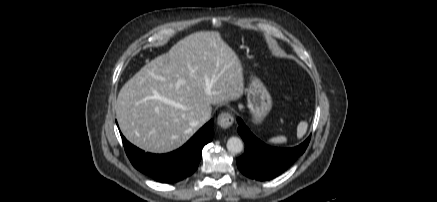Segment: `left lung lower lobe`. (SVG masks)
I'll list each match as a JSON object with an SVG mask.
<instances>
[{
    "label": "left lung lower lobe",
    "mask_w": 437,
    "mask_h": 202,
    "mask_svg": "<svg viewBox=\"0 0 437 202\" xmlns=\"http://www.w3.org/2000/svg\"><path fill=\"white\" fill-rule=\"evenodd\" d=\"M237 121L238 133L246 145L244 154L236 160L237 167L245 176L259 181L273 179L287 170L305 152L311 138L293 148H275L255 137L240 118Z\"/></svg>",
    "instance_id": "1"
}]
</instances>
